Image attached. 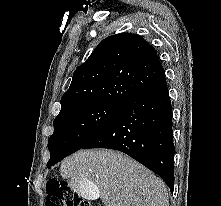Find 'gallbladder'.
<instances>
[{"label":"gallbladder","mask_w":221,"mask_h":206,"mask_svg":"<svg viewBox=\"0 0 221 206\" xmlns=\"http://www.w3.org/2000/svg\"><path fill=\"white\" fill-rule=\"evenodd\" d=\"M72 185L74 194H78L79 198H87L88 202H95L96 198H99V189H96V185H93V181H72L69 180Z\"/></svg>","instance_id":"obj_1"}]
</instances>
